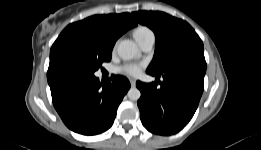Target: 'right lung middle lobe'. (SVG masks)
Returning <instances> with one entry per match:
<instances>
[{"instance_id": "right-lung-middle-lobe-1", "label": "right lung middle lobe", "mask_w": 261, "mask_h": 150, "mask_svg": "<svg viewBox=\"0 0 261 150\" xmlns=\"http://www.w3.org/2000/svg\"><path fill=\"white\" fill-rule=\"evenodd\" d=\"M113 45L89 32H72L58 38L50 51L47 78L54 81L89 77L104 61L111 60Z\"/></svg>"}]
</instances>
